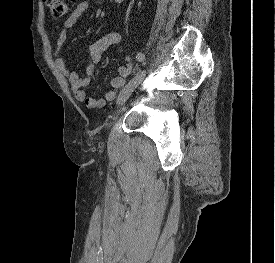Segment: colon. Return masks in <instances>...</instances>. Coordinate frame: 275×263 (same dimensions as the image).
Wrapping results in <instances>:
<instances>
[{
  "label": "colon",
  "instance_id": "obj_1",
  "mask_svg": "<svg viewBox=\"0 0 275 263\" xmlns=\"http://www.w3.org/2000/svg\"><path fill=\"white\" fill-rule=\"evenodd\" d=\"M48 10L54 17H62L67 14L72 0H45Z\"/></svg>",
  "mask_w": 275,
  "mask_h": 263
}]
</instances>
